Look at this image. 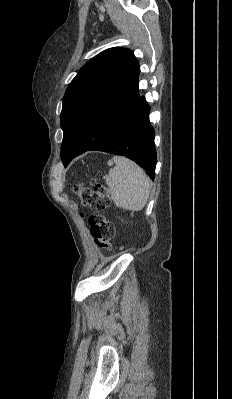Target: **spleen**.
Returning <instances> with one entry per match:
<instances>
[{
  "instance_id": "spleen-1",
  "label": "spleen",
  "mask_w": 232,
  "mask_h": 399,
  "mask_svg": "<svg viewBox=\"0 0 232 399\" xmlns=\"http://www.w3.org/2000/svg\"><path fill=\"white\" fill-rule=\"evenodd\" d=\"M113 170L108 176H104L107 186H109L111 200L117 207L138 211L143 209L150 196V180L144 170L137 166L135 162L114 156Z\"/></svg>"
}]
</instances>
